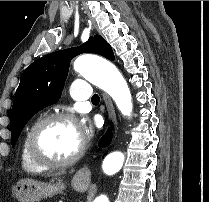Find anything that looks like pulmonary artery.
Segmentation results:
<instances>
[{
  "label": "pulmonary artery",
  "mask_w": 209,
  "mask_h": 202,
  "mask_svg": "<svg viewBox=\"0 0 209 202\" xmlns=\"http://www.w3.org/2000/svg\"><path fill=\"white\" fill-rule=\"evenodd\" d=\"M70 88L74 100L80 101L92 99L90 83L86 79L80 78L74 80L70 84Z\"/></svg>",
  "instance_id": "obj_1"
}]
</instances>
